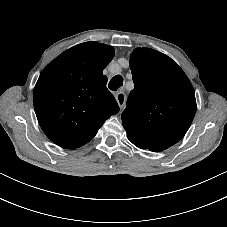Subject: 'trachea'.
<instances>
[{
    "label": "trachea",
    "mask_w": 227,
    "mask_h": 227,
    "mask_svg": "<svg viewBox=\"0 0 227 227\" xmlns=\"http://www.w3.org/2000/svg\"><path fill=\"white\" fill-rule=\"evenodd\" d=\"M123 77L121 75L114 76L109 82V89L112 91H116L123 84Z\"/></svg>",
    "instance_id": "obj_1"
}]
</instances>
